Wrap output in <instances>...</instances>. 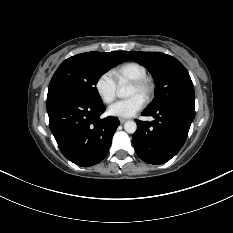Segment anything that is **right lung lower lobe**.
Here are the masks:
<instances>
[{"label":"right lung lower lobe","mask_w":233,"mask_h":233,"mask_svg":"<svg viewBox=\"0 0 233 233\" xmlns=\"http://www.w3.org/2000/svg\"><path fill=\"white\" fill-rule=\"evenodd\" d=\"M105 106L73 98L47 99L49 127L63 155L78 166L99 163L107 155L119 126L115 117L100 119Z\"/></svg>","instance_id":"1"}]
</instances>
